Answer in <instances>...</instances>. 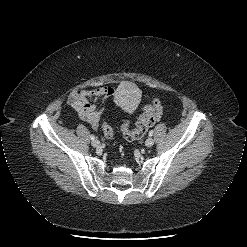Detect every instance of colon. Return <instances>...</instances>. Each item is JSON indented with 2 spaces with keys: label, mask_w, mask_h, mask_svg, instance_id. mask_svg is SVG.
I'll return each instance as SVG.
<instances>
[{
  "label": "colon",
  "mask_w": 247,
  "mask_h": 247,
  "mask_svg": "<svg viewBox=\"0 0 247 247\" xmlns=\"http://www.w3.org/2000/svg\"><path fill=\"white\" fill-rule=\"evenodd\" d=\"M162 110V102L158 98H153L149 104L144 107V111L136 122L134 128H131L128 123L121 125V132L125 139L129 141L142 138L149 127L155 124L159 118V113ZM103 133L106 138L112 139L114 132L109 123L103 124Z\"/></svg>",
  "instance_id": "5ec220e1"
}]
</instances>
